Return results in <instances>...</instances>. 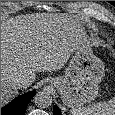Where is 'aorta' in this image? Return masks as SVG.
I'll use <instances>...</instances> for the list:
<instances>
[{"mask_svg": "<svg viewBox=\"0 0 115 115\" xmlns=\"http://www.w3.org/2000/svg\"><path fill=\"white\" fill-rule=\"evenodd\" d=\"M34 103L40 108L49 107L52 104V96L47 91H40L35 95Z\"/></svg>", "mask_w": 115, "mask_h": 115, "instance_id": "aorta-1", "label": "aorta"}]
</instances>
